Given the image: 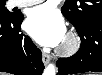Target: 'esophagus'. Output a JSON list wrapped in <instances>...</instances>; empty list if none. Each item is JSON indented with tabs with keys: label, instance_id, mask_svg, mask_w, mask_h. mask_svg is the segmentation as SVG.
I'll return each mask as SVG.
<instances>
[{
	"label": "esophagus",
	"instance_id": "esophagus-1",
	"mask_svg": "<svg viewBox=\"0 0 102 75\" xmlns=\"http://www.w3.org/2000/svg\"><path fill=\"white\" fill-rule=\"evenodd\" d=\"M42 60H43V63L47 65L52 60V57L47 53H43Z\"/></svg>",
	"mask_w": 102,
	"mask_h": 75
}]
</instances>
